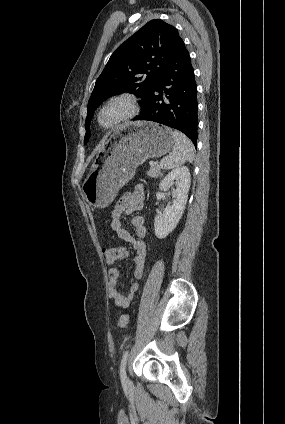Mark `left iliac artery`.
Wrapping results in <instances>:
<instances>
[{
	"label": "left iliac artery",
	"mask_w": 285,
	"mask_h": 424,
	"mask_svg": "<svg viewBox=\"0 0 285 424\" xmlns=\"http://www.w3.org/2000/svg\"><path fill=\"white\" fill-rule=\"evenodd\" d=\"M128 353H129L128 350H126L124 352L123 357H122V360H121V365H120V376H121V379L123 381H125V379H126L125 368H126V362H127V358H128Z\"/></svg>",
	"instance_id": "obj_1"
}]
</instances>
